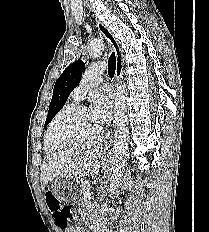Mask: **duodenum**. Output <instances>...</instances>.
<instances>
[{"label": "duodenum", "instance_id": "1", "mask_svg": "<svg viewBox=\"0 0 209 232\" xmlns=\"http://www.w3.org/2000/svg\"><path fill=\"white\" fill-rule=\"evenodd\" d=\"M93 232H104V230L98 222H95L93 225Z\"/></svg>", "mask_w": 209, "mask_h": 232}]
</instances>
